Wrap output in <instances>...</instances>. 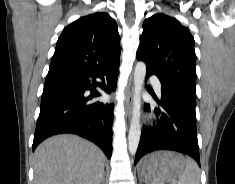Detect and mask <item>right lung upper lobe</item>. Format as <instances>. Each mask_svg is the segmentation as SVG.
<instances>
[{
    "label": "right lung upper lobe",
    "mask_w": 235,
    "mask_h": 184,
    "mask_svg": "<svg viewBox=\"0 0 235 184\" xmlns=\"http://www.w3.org/2000/svg\"><path fill=\"white\" fill-rule=\"evenodd\" d=\"M120 36L106 12L84 16L60 35L49 71L96 72L120 63Z\"/></svg>",
    "instance_id": "obj_1"
}]
</instances>
